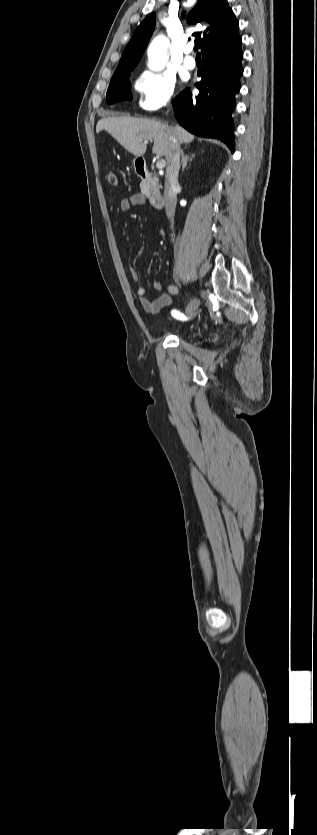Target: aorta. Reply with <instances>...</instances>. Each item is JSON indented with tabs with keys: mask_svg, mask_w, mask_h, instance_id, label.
I'll use <instances>...</instances> for the list:
<instances>
[{
	"mask_svg": "<svg viewBox=\"0 0 317 835\" xmlns=\"http://www.w3.org/2000/svg\"><path fill=\"white\" fill-rule=\"evenodd\" d=\"M169 39L159 34L156 36L148 47V67L153 71H160L167 63L169 56L167 48Z\"/></svg>",
	"mask_w": 317,
	"mask_h": 835,
	"instance_id": "obj_1",
	"label": "aorta"
}]
</instances>
